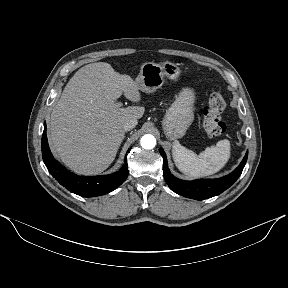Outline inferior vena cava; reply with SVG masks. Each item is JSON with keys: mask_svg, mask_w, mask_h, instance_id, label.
Masks as SVG:
<instances>
[{"mask_svg": "<svg viewBox=\"0 0 288 288\" xmlns=\"http://www.w3.org/2000/svg\"><path fill=\"white\" fill-rule=\"evenodd\" d=\"M137 123L138 122L136 119H129L124 123L123 128L125 131H129L133 129L137 125Z\"/></svg>", "mask_w": 288, "mask_h": 288, "instance_id": "1", "label": "inferior vena cava"}]
</instances>
